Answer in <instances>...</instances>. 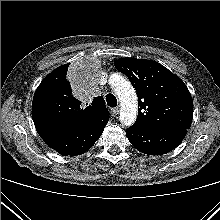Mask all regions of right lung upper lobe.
<instances>
[{
    "mask_svg": "<svg viewBox=\"0 0 220 220\" xmlns=\"http://www.w3.org/2000/svg\"><path fill=\"white\" fill-rule=\"evenodd\" d=\"M68 66L64 64L48 74L35 91L32 117L39 134L75 129L98 116L109 115L102 96L94 97L91 105L82 108L72 94Z\"/></svg>",
    "mask_w": 220,
    "mask_h": 220,
    "instance_id": "right-lung-upper-lobe-1",
    "label": "right lung upper lobe"
}]
</instances>
